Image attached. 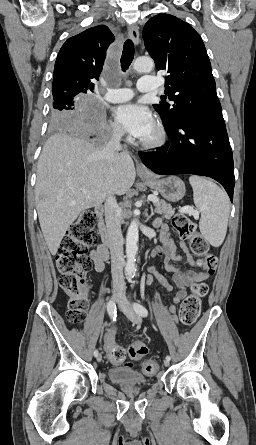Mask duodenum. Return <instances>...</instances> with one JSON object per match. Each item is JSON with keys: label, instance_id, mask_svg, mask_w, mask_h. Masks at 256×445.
Here are the masks:
<instances>
[{"label": "duodenum", "instance_id": "410a0bca", "mask_svg": "<svg viewBox=\"0 0 256 445\" xmlns=\"http://www.w3.org/2000/svg\"><path fill=\"white\" fill-rule=\"evenodd\" d=\"M95 212H96V216H97V229H98L99 235H100L103 243L105 244V246H108L110 244V238H109L106 224L104 221L105 208L103 206L99 205L95 208Z\"/></svg>", "mask_w": 256, "mask_h": 445}]
</instances>
